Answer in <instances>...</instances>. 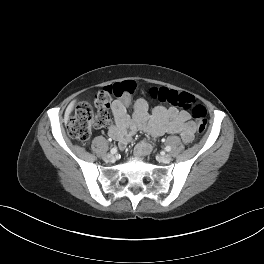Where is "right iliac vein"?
<instances>
[{
	"instance_id": "63e3f726",
	"label": "right iliac vein",
	"mask_w": 264,
	"mask_h": 264,
	"mask_svg": "<svg viewBox=\"0 0 264 264\" xmlns=\"http://www.w3.org/2000/svg\"><path fill=\"white\" fill-rule=\"evenodd\" d=\"M103 159H104L105 161H109V162H111V161H114V160H115V157H114V155H112V154H105L104 157H103Z\"/></svg>"
}]
</instances>
